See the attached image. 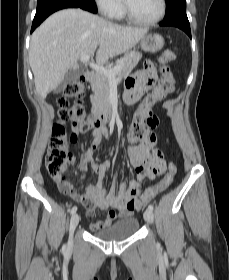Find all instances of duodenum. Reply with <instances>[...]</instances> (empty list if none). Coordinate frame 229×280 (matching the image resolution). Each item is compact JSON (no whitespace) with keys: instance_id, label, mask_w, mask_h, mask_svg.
Instances as JSON below:
<instances>
[{"instance_id":"obj_1","label":"duodenum","mask_w":229,"mask_h":280,"mask_svg":"<svg viewBox=\"0 0 229 280\" xmlns=\"http://www.w3.org/2000/svg\"><path fill=\"white\" fill-rule=\"evenodd\" d=\"M84 78L92 83L96 81V73L88 70L84 73ZM113 121V116L111 113H95L93 115L94 127L98 129H103L107 124H111Z\"/></svg>"}]
</instances>
